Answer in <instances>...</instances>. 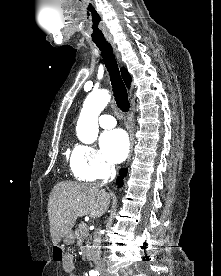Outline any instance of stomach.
Returning a JSON list of instances; mask_svg holds the SVG:
<instances>
[{"instance_id":"obj_1","label":"stomach","mask_w":221,"mask_h":276,"mask_svg":"<svg viewBox=\"0 0 221 276\" xmlns=\"http://www.w3.org/2000/svg\"><path fill=\"white\" fill-rule=\"evenodd\" d=\"M74 239H75V236L71 231L63 237V243L66 245H72L74 243Z\"/></svg>"}]
</instances>
